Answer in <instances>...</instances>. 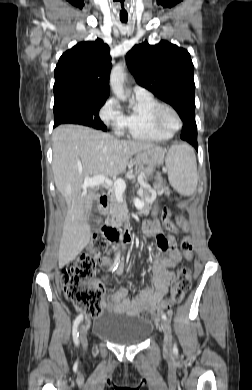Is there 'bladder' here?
<instances>
[{
  "mask_svg": "<svg viewBox=\"0 0 252 390\" xmlns=\"http://www.w3.org/2000/svg\"><path fill=\"white\" fill-rule=\"evenodd\" d=\"M92 331L114 344L133 346L144 342L150 335V324L140 316L106 314L94 321Z\"/></svg>",
  "mask_w": 252,
  "mask_h": 390,
  "instance_id": "bladder-1",
  "label": "bladder"
}]
</instances>
